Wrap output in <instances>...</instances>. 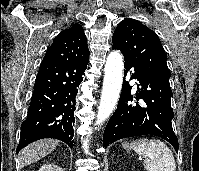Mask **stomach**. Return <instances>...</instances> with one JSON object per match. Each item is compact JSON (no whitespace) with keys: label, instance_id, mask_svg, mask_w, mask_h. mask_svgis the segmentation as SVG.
Listing matches in <instances>:
<instances>
[{"label":"stomach","instance_id":"obj_1","mask_svg":"<svg viewBox=\"0 0 199 171\" xmlns=\"http://www.w3.org/2000/svg\"><path fill=\"white\" fill-rule=\"evenodd\" d=\"M124 147H125V148H127V149H129V147H128V145H127V144H125V145H124Z\"/></svg>","mask_w":199,"mask_h":171}]
</instances>
